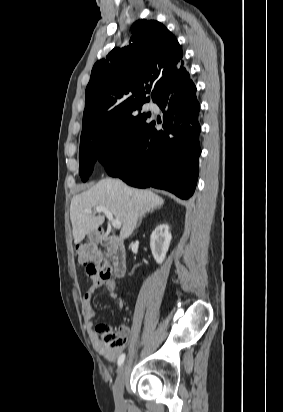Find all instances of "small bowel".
I'll return each instance as SVG.
<instances>
[{"instance_id": "small-bowel-1", "label": "small bowel", "mask_w": 283, "mask_h": 412, "mask_svg": "<svg viewBox=\"0 0 283 412\" xmlns=\"http://www.w3.org/2000/svg\"><path fill=\"white\" fill-rule=\"evenodd\" d=\"M91 286L89 289L84 293L82 300H81V307H82V313H83V319L85 323V327L87 330V333L95 345L96 348L102 350V344L98 339L97 334L95 333L93 329V324H94V318H95V311L92 307V299L95 291L99 289L102 286H105L107 290L110 292V298L111 300L120 308L122 309L124 307V301L122 298L119 296V294L116 292V283L113 279H103L98 276L91 275ZM120 331L124 335H128L130 332V328L126 324H122L120 326ZM121 353V350H116L115 352L111 354L104 353L105 357L107 360L110 362V365L108 366L109 372L113 371V362L117 359L119 354Z\"/></svg>"}]
</instances>
